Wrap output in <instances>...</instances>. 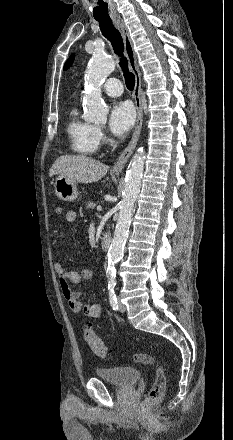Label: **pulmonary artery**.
<instances>
[{
  "label": "pulmonary artery",
  "mask_w": 233,
  "mask_h": 440,
  "mask_svg": "<svg viewBox=\"0 0 233 440\" xmlns=\"http://www.w3.org/2000/svg\"><path fill=\"white\" fill-rule=\"evenodd\" d=\"M103 91L112 97L120 96L123 92L121 82L117 78L108 79L102 86Z\"/></svg>",
  "instance_id": "pulmonary-artery-1"
}]
</instances>
